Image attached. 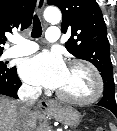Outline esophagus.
Returning <instances> with one entry per match:
<instances>
[{
    "instance_id": "34e87169",
    "label": "esophagus",
    "mask_w": 117,
    "mask_h": 131,
    "mask_svg": "<svg viewBox=\"0 0 117 131\" xmlns=\"http://www.w3.org/2000/svg\"><path fill=\"white\" fill-rule=\"evenodd\" d=\"M45 5V0H37L36 12L41 16L43 8ZM54 102L51 100H40L38 102V108L42 112H49L54 109Z\"/></svg>"
}]
</instances>
